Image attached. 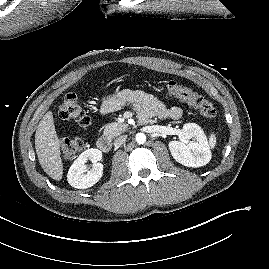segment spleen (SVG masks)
<instances>
[{
  "label": "spleen",
  "instance_id": "1",
  "mask_svg": "<svg viewBox=\"0 0 269 269\" xmlns=\"http://www.w3.org/2000/svg\"><path fill=\"white\" fill-rule=\"evenodd\" d=\"M209 145L211 148H214L216 145V136L215 134H211L209 138Z\"/></svg>",
  "mask_w": 269,
  "mask_h": 269
}]
</instances>
